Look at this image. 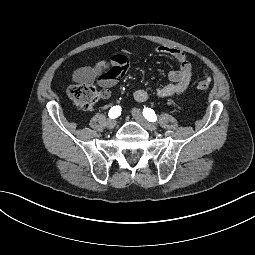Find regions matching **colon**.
<instances>
[{"label": "colon", "instance_id": "1", "mask_svg": "<svg viewBox=\"0 0 255 255\" xmlns=\"http://www.w3.org/2000/svg\"><path fill=\"white\" fill-rule=\"evenodd\" d=\"M210 85V80L203 79L198 81L197 89L205 91L209 89ZM66 94L79 108L88 110L96 103L100 93L96 87L90 84H70L66 89Z\"/></svg>", "mask_w": 255, "mask_h": 255}]
</instances>
